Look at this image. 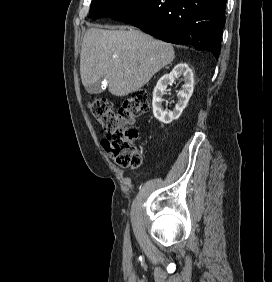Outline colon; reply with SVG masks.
<instances>
[{"label": "colon", "instance_id": "1", "mask_svg": "<svg viewBox=\"0 0 272 282\" xmlns=\"http://www.w3.org/2000/svg\"><path fill=\"white\" fill-rule=\"evenodd\" d=\"M89 109L108 131L102 145L109 156L121 167H138L142 156L135 144L139 133L134 120L149 110L147 93L133 92L117 109L109 100L96 99L89 103Z\"/></svg>", "mask_w": 272, "mask_h": 282}]
</instances>
